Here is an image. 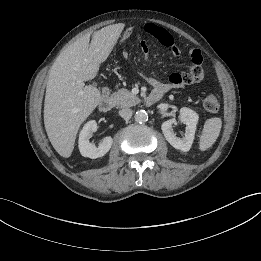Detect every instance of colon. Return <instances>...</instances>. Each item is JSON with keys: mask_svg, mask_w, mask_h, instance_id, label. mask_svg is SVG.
Returning <instances> with one entry per match:
<instances>
[{"mask_svg": "<svg viewBox=\"0 0 261 261\" xmlns=\"http://www.w3.org/2000/svg\"><path fill=\"white\" fill-rule=\"evenodd\" d=\"M133 34L134 28L132 26H127L123 33L119 35L116 44L119 47H122ZM203 106L208 112H217L220 108L219 98L214 94H208L203 99Z\"/></svg>", "mask_w": 261, "mask_h": 261, "instance_id": "1", "label": "colon"}]
</instances>
